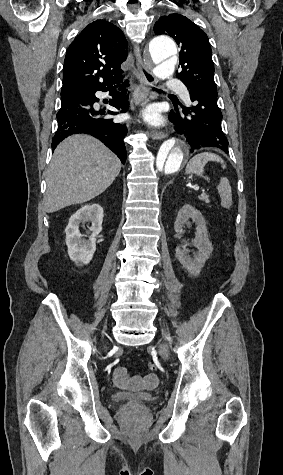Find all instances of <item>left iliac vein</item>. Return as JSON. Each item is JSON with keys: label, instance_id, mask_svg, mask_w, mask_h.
Returning <instances> with one entry per match:
<instances>
[{"label": "left iliac vein", "instance_id": "left-iliac-vein-1", "mask_svg": "<svg viewBox=\"0 0 283 475\" xmlns=\"http://www.w3.org/2000/svg\"><path fill=\"white\" fill-rule=\"evenodd\" d=\"M160 350H161L162 356H163L164 358H167V357H168V352H167V350H166L164 347H162V346L160 347Z\"/></svg>", "mask_w": 283, "mask_h": 475}]
</instances>
